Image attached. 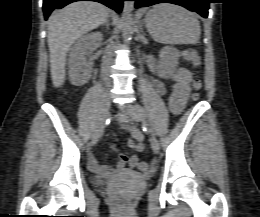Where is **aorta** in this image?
<instances>
[{"label":"aorta","instance_id":"obj_1","mask_svg":"<svg viewBox=\"0 0 260 217\" xmlns=\"http://www.w3.org/2000/svg\"><path fill=\"white\" fill-rule=\"evenodd\" d=\"M134 9L133 1H125L122 11V37L125 43H129L133 33L132 11Z\"/></svg>","mask_w":260,"mask_h":217}]
</instances>
